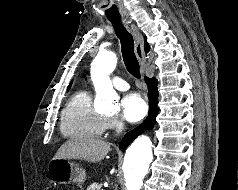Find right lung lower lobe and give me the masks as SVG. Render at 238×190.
<instances>
[{"label":"right lung lower lobe","instance_id":"1","mask_svg":"<svg viewBox=\"0 0 238 190\" xmlns=\"http://www.w3.org/2000/svg\"><path fill=\"white\" fill-rule=\"evenodd\" d=\"M146 84L148 85V98H149V114L145 121L127 133L122 142L120 143V149L124 150L130 142H132L139 134L145 130L152 129L156 123V116L158 115V91H157V80L155 78L145 77Z\"/></svg>","mask_w":238,"mask_h":190}]
</instances>
